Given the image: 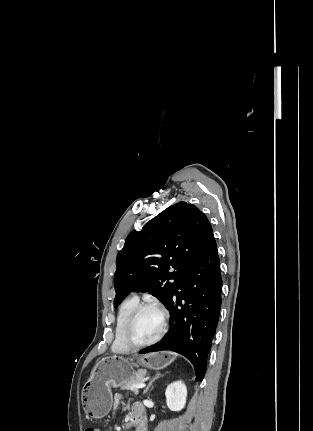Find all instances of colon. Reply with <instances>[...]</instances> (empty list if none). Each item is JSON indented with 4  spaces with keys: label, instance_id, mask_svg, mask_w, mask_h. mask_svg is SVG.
I'll use <instances>...</instances> for the list:
<instances>
[{
    "label": "colon",
    "instance_id": "1",
    "mask_svg": "<svg viewBox=\"0 0 313 431\" xmlns=\"http://www.w3.org/2000/svg\"><path fill=\"white\" fill-rule=\"evenodd\" d=\"M85 431H100V430L94 427H90V428H87Z\"/></svg>",
    "mask_w": 313,
    "mask_h": 431
}]
</instances>
